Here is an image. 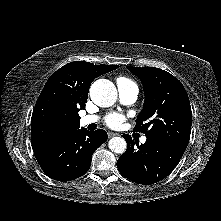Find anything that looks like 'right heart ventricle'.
Listing matches in <instances>:
<instances>
[{
	"mask_svg": "<svg viewBox=\"0 0 221 221\" xmlns=\"http://www.w3.org/2000/svg\"><path fill=\"white\" fill-rule=\"evenodd\" d=\"M118 79H123V80H126V81H128L126 78H123V77H120V78H118ZM130 82V81H129Z\"/></svg>",
	"mask_w": 221,
	"mask_h": 221,
	"instance_id": "right-heart-ventricle-1",
	"label": "right heart ventricle"
}]
</instances>
